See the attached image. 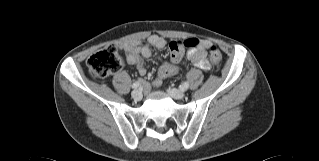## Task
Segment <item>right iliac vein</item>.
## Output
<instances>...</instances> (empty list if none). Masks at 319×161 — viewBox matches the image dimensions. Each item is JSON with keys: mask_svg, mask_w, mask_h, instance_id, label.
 Listing matches in <instances>:
<instances>
[{"mask_svg": "<svg viewBox=\"0 0 319 161\" xmlns=\"http://www.w3.org/2000/svg\"><path fill=\"white\" fill-rule=\"evenodd\" d=\"M131 95H132V97H133L135 100H139V99H141V97H142V93H141L140 90H134V91H132Z\"/></svg>", "mask_w": 319, "mask_h": 161, "instance_id": "1", "label": "right iliac vein"}]
</instances>
